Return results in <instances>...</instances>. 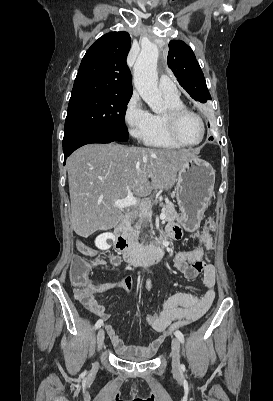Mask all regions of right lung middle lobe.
<instances>
[{"label": "right lung middle lobe", "mask_w": 273, "mask_h": 401, "mask_svg": "<svg viewBox=\"0 0 273 401\" xmlns=\"http://www.w3.org/2000/svg\"><path fill=\"white\" fill-rule=\"evenodd\" d=\"M131 96L81 94L71 96L65 133L92 131L119 142L128 140L125 112Z\"/></svg>", "instance_id": "1"}]
</instances>
